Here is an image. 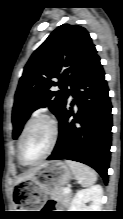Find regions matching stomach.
Instances as JSON below:
<instances>
[{
  "mask_svg": "<svg viewBox=\"0 0 123 219\" xmlns=\"http://www.w3.org/2000/svg\"><path fill=\"white\" fill-rule=\"evenodd\" d=\"M72 177L73 172L66 162L54 160L43 163L30 179L22 182L17 195L21 199L15 205L21 210L15 211H36L25 209H38L51 191L62 188Z\"/></svg>",
  "mask_w": 123,
  "mask_h": 219,
  "instance_id": "stomach-1",
  "label": "stomach"
}]
</instances>
